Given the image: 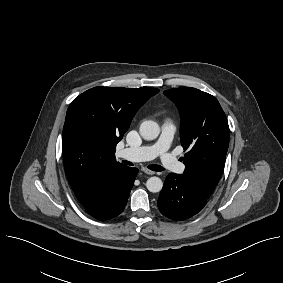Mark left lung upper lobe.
<instances>
[{
    "label": "left lung upper lobe",
    "instance_id": "1",
    "mask_svg": "<svg viewBox=\"0 0 283 283\" xmlns=\"http://www.w3.org/2000/svg\"><path fill=\"white\" fill-rule=\"evenodd\" d=\"M181 115V145L188 152L182 174L198 192L209 197L217 185L229 146V126L217 99L195 88L163 92Z\"/></svg>",
    "mask_w": 283,
    "mask_h": 283
}]
</instances>
